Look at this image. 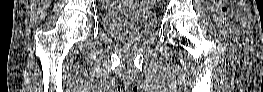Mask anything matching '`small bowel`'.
<instances>
[{
  "instance_id": "obj_1",
  "label": "small bowel",
  "mask_w": 263,
  "mask_h": 92,
  "mask_svg": "<svg viewBox=\"0 0 263 92\" xmlns=\"http://www.w3.org/2000/svg\"><path fill=\"white\" fill-rule=\"evenodd\" d=\"M147 4H148V3H147ZM147 4H145V6H144L143 8H146V7H147V6H146Z\"/></svg>"
}]
</instances>
